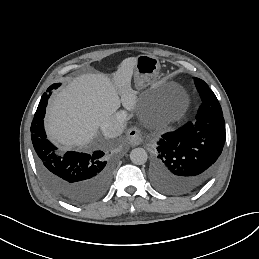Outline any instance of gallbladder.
Masks as SVG:
<instances>
[{
	"mask_svg": "<svg viewBox=\"0 0 259 259\" xmlns=\"http://www.w3.org/2000/svg\"><path fill=\"white\" fill-rule=\"evenodd\" d=\"M141 105H146V101L144 98H142Z\"/></svg>",
	"mask_w": 259,
	"mask_h": 259,
	"instance_id": "1",
	"label": "gallbladder"
}]
</instances>
